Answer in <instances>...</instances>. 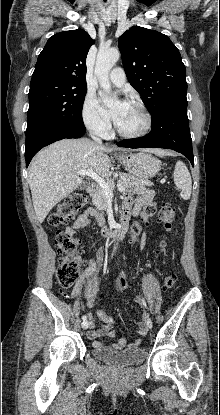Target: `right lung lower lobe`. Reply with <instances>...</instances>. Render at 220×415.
<instances>
[{"instance_id":"obj_1","label":"right lung lower lobe","mask_w":220,"mask_h":415,"mask_svg":"<svg viewBox=\"0 0 220 415\" xmlns=\"http://www.w3.org/2000/svg\"><path fill=\"white\" fill-rule=\"evenodd\" d=\"M85 133V127L72 130L45 131L36 135L25 144L26 167L29 165L33 156L44 146L64 138H80Z\"/></svg>"}]
</instances>
